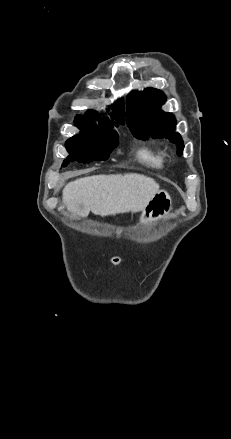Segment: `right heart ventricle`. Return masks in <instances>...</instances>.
Instances as JSON below:
<instances>
[{
	"label": "right heart ventricle",
	"mask_w": 231,
	"mask_h": 439,
	"mask_svg": "<svg viewBox=\"0 0 231 439\" xmlns=\"http://www.w3.org/2000/svg\"><path fill=\"white\" fill-rule=\"evenodd\" d=\"M137 157L146 165L161 168L165 162V152L157 146L143 144L136 148Z\"/></svg>",
	"instance_id": "right-heart-ventricle-1"
}]
</instances>
